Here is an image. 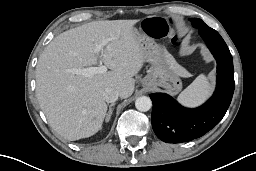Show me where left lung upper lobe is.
<instances>
[{
    "instance_id": "obj_1",
    "label": "left lung upper lobe",
    "mask_w": 256,
    "mask_h": 171,
    "mask_svg": "<svg viewBox=\"0 0 256 171\" xmlns=\"http://www.w3.org/2000/svg\"><path fill=\"white\" fill-rule=\"evenodd\" d=\"M190 20H191L192 25H193L194 27H197V28H199V27L210 28V27H208L201 19L192 18V19H190Z\"/></svg>"
}]
</instances>
